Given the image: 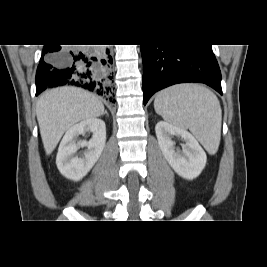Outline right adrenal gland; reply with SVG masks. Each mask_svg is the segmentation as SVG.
<instances>
[{
	"label": "right adrenal gland",
	"instance_id": "obj_1",
	"mask_svg": "<svg viewBox=\"0 0 267 267\" xmlns=\"http://www.w3.org/2000/svg\"><path fill=\"white\" fill-rule=\"evenodd\" d=\"M105 114H107V116H108V113H107V111H105Z\"/></svg>",
	"mask_w": 267,
	"mask_h": 267
}]
</instances>
